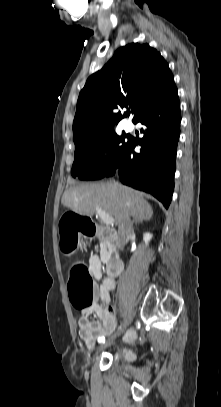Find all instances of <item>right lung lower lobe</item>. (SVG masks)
<instances>
[{"label":"right lung lower lobe","instance_id":"1","mask_svg":"<svg viewBox=\"0 0 221 407\" xmlns=\"http://www.w3.org/2000/svg\"><path fill=\"white\" fill-rule=\"evenodd\" d=\"M133 122L144 125L143 138L139 142L129 138L123 156L104 177L114 175L117 170L123 184L151 193L168 208L174 189L181 122L176 86ZM137 144L141 146L139 153L134 152Z\"/></svg>","mask_w":221,"mask_h":407}]
</instances>
